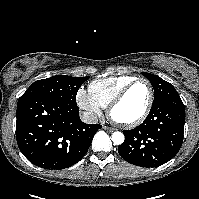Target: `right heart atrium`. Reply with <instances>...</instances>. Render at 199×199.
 <instances>
[{
    "label": "right heart atrium",
    "instance_id": "obj_1",
    "mask_svg": "<svg viewBox=\"0 0 199 199\" xmlns=\"http://www.w3.org/2000/svg\"><path fill=\"white\" fill-rule=\"evenodd\" d=\"M76 100L78 106L86 113L89 119L94 120L101 114V106L85 89L80 88L77 91Z\"/></svg>",
    "mask_w": 199,
    "mask_h": 199
}]
</instances>
